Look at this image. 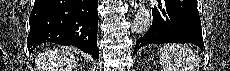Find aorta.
Wrapping results in <instances>:
<instances>
[{"label": "aorta", "mask_w": 230, "mask_h": 71, "mask_svg": "<svg viewBox=\"0 0 230 71\" xmlns=\"http://www.w3.org/2000/svg\"><path fill=\"white\" fill-rule=\"evenodd\" d=\"M151 24L152 16L149 9L145 6H140L133 20L132 30L136 34H144L149 30Z\"/></svg>", "instance_id": "obj_1"}]
</instances>
